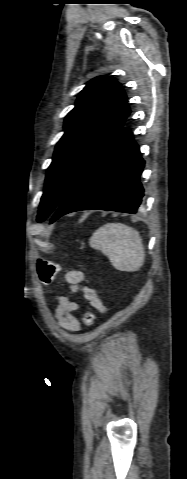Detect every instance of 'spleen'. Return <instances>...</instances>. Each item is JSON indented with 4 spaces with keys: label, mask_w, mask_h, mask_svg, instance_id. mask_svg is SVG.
<instances>
[{
    "label": "spleen",
    "mask_w": 187,
    "mask_h": 479,
    "mask_svg": "<svg viewBox=\"0 0 187 479\" xmlns=\"http://www.w3.org/2000/svg\"><path fill=\"white\" fill-rule=\"evenodd\" d=\"M92 248L108 257L112 266L125 272L138 271L144 264L145 251L139 233L122 223H107L89 240Z\"/></svg>",
    "instance_id": "obj_1"
}]
</instances>
